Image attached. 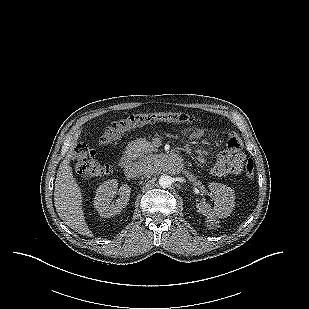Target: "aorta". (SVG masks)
<instances>
[{"label": "aorta", "mask_w": 309, "mask_h": 309, "mask_svg": "<svg viewBox=\"0 0 309 309\" xmlns=\"http://www.w3.org/2000/svg\"><path fill=\"white\" fill-rule=\"evenodd\" d=\"M172 184V177L168 176V175H162L159 178V185L163 188H168L170 187Z\"/></svg>", "instance_id": "obj_1"}]
</instances>
